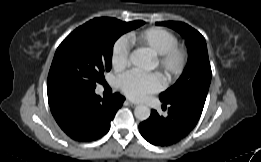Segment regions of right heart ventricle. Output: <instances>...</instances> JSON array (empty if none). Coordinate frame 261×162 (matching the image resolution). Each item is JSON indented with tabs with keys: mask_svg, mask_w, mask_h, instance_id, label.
<instances>
[{
	"mask_svg": "<svg viewBox=\"0 0 261 162\" xmlns=\"http://www.w3.org/2000/svg\"><path fill=\"white\" fill-rule=\"evenodd\" d=\"M126 40L131 45L147 49L154 55L161 54L178 44L177 38L172 32L160 27H150L129 33Z\"/></svg>",
	"mask_w": 261,
	"mask_h": 162,
	"instance_id": "1",
	"label": "right heart ventricle"
}]
</instances>
